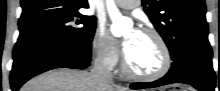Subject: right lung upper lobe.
I'll return each mask as SVG.
<instances>
[{"mask_svg":"<svg viewBox=\"0 0 220 91\" xmlns=\"http://www.w3.org/2000/svg\"><path fill=\"white\" fill-rule=\"evenodd\" d=\"M23 9L19 24L27 23L48 15L78 11L88 8L86 0H21Z\"/></svg>","mask_w":220,"mask_h":91,"instance_id":"obj_1","label":"right lung upper lobe"}]
</instances>
